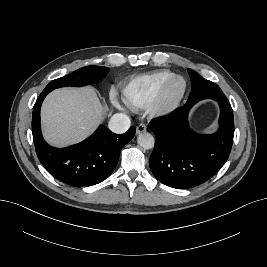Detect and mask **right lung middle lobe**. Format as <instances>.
Segmentation results:
<instances>
[{
    "label": "right lung middle lobe",
    "mask_w": 267,
    "mask_h": 267,
    "mask_svg": "<svg viewBox=\"0 0 267 267\" xmlns=\"http://www.w3.org/2000/svg\"><path fill=\"white\" fill-rule=\"evenodd\" d=\"M108 72L109 68L103 66L83 67L74 71L70 75L51 81L46 86L45 90L52 91L55 88L64 86H84L102 80Z\"/></svg>",
    "instance_id": "1"
}]
</instances>
